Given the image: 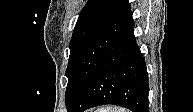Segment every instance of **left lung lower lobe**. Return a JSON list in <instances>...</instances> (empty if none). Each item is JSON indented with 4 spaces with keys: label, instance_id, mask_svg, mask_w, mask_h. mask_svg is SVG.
<instances>
[{
    "label": "left lung lower lobe",
    "instance_id": "0a47b994",
    "mask_svg": "<svg viewBox=\"0 0 193 112\" xmlns=\"http://www.w3.org/2000/svg\"><path fill=\"white\" fill-rule=\"evenodd\" d=\"M133 28L129 4L85 48L68 79V112L105 104L149 112L148 73Z\"/></svg>",
    "mask_w": 193,
    "mask_h": 112
}]
</instances>
